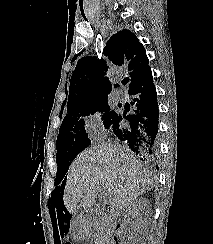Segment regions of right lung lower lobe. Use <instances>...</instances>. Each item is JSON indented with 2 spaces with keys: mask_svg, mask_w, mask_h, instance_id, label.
Segmentation results:
<instances>
[{
  "mask_svg": "<svg viewBox=\"0 0 213 244\" xmlns=\"http://www.w3.org/2000/svg\"><path fill=\"white\" fill-rule=\"evenodd\" d=\"M133 114L115 113L109 127L114 135L140 159L153 161L158 155V103L151 69L129 89Z\"/></svg>",
  "mask_w": 213,
  "mask_h": 244,
  "instance_id": "98d812e1",
  "label": "right lung lower lobe"
}]
</instances>
